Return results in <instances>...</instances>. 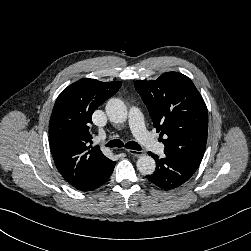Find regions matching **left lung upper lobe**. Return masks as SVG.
<instances>
[{"mask_svg":"<svg viewBox=\"0 0 251 251\" xmlns=\"http://www.w3.org/2000/svg\"><path fill=\"white\" fill-rule=\"evenodd\" d=\"M134 86L157 132L166 135L164 153L199 166L206 148L208 113L193 82L181 73L168 72L154 81L137 80Z\"/></svg>","mask_w":251,"mask_h":251,"instance_id":"left-lung-upper-lobe-1","label":"left lung upper lobe"}]
</instances>
